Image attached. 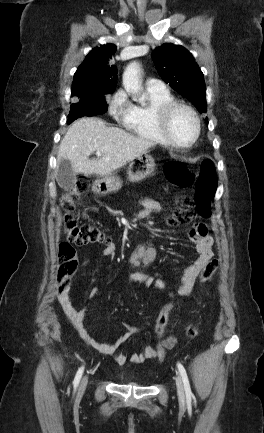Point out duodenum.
Here are the masks:
<instances>
[{
	"mask_svg": "<svg viewBox=\"0 0 264 433\" xmlns=\"http://www.w3.org/2000/svg\"><path fill=\"white\" fill-rule=\"evenodd\" d=\"M138 258L143 260L144 262H149L151 260L150 250L145 249L142 252L138 253Z\"/></svg>",
	"mask_w": 264,
	"mask_h": 433,
	"instance_id": "410a0bca",
	"label": "duodenum"
}]
</instances>
